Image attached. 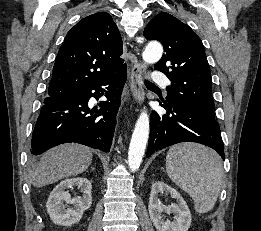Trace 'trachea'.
Returning a JSON list of instances; mask_svg holds the SVG:
<instances>
[{
	"label": "trachea",
	"instance_id": "3493384b",
	"mask_svg": "<svg viewBox=\"0 0 261 231\" xmlns=\"http://www.w3.org/2000/svg\"><path fill=\"white\" fill-rule=\"evenodd\" d=\"M145 84H146L147 86H153V87H155L154 84H152L151 82H149V81H147V80H145Z\"/></svg>",
	"mask_w": 261,
	"mask_h": 231
}]
</instances>
